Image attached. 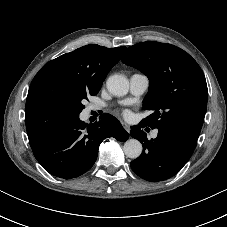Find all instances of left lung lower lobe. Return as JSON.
Masks as SVG:
<instances>
[{
  "label": "left lung lower lobe",
  "instance_id": "0a47b994",
  "mask_svg": "<svg viewBox=\"0 0 227 227\" xmlns=\"http://www.w3.org/2000/svg\"><path fill=\"white\" fill-rule=\"evenodd\" d=\"M139 126L131 127L130 135L138 139L143 152L130 163L132 170L141 178L151 181H163L176 175L187 163L197 145V139L172 128L158 129L156 139L148 140Z\"/></svg>",
  "mask_w": 227,
  "mask_h": 227
}]
</instances>
